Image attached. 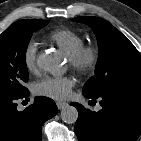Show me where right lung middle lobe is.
Masks as SVG:
<instances>
[{
    "instance_id": "dd1d6c3e",
    "label": "right lung middle lobe",
    "mask_w": 141,
    "mask_h": 141,
    "mask_svg": "<svg viewBox=\"0 0 141 141\" xmlns=\"http://www.w3.org/2000/svg\"><path fill=\"white\" fill-rule=\"evenodd\" d=\"M49 23L47 20L26 19L13 23L0 34V97L19 96L28 90L26 50L33 32Z\"/></svg>"
}]
</instances>
